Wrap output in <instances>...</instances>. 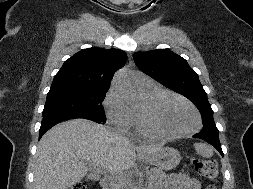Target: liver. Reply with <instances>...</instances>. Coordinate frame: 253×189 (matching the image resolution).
Returning a JSON list of instances; mask_svg holds the SVG:
<instances>
[{"mask_svg": "<svg viewBox=\"0 0 253 189\" xmlns=\"http://www.w3.org/2000/svg\"><path fill=\"white\" fill-rule=\"evenodd\" d=\"M162 145L135 148L125 137L103 125L86 119L62 122L39 141L34 161V189H68L84 177L99 179V173L110 176L135 165L136 152L152 155ZM91 171L90 174H87ZM129 189V181L125 186Z\"/></svg>", "mask_w": 253, "mask_h": 189, "instance_id": "6515ba94", "label": "liver"}]
</instances>
